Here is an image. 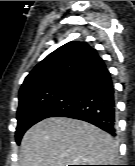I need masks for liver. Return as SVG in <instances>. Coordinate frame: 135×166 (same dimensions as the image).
Listing matches in <instances>:
<instances>
[{
	"instance_id": "obj_1",
	"label": "liver",
	"mask_w": 135,
	"mask_h": 166,
	"mask_svg": "<svg viewBox=\"0 0 135 166\" xmlns=\"http://www.w3.org/2000/svg\"><path fill=\"white\" fill-rule=\"evenodd\" d=\"M20 166L112 165V137L85 121L51 117L32 126L21 141Z\"/></svg>"
}]
</instances>
